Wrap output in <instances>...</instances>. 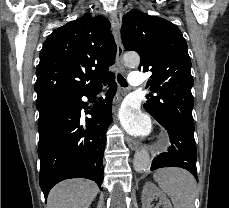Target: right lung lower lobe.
Masks as SVG:
<instances>
[{"mask_svg": "<svg viewBox=\"0 0 229 208\" xmlns=\"http://www.w3.org/2000/svg\"><path fill=\"white\" fill-rule=\"evenodd\" d=\"M110 86L106 98L86 112L92 118L81 117V96L38 122L39 184L45 200L55 184L69 178L91 179L102 190L103 153L115 82L111 81ZM97 92L98 89L83 96L93 99Z\"/></svg>", "mask_w": 229, "mask_h": 208, "instance_id": "1", "label": "right lung lower lobe"}]
</instances>
